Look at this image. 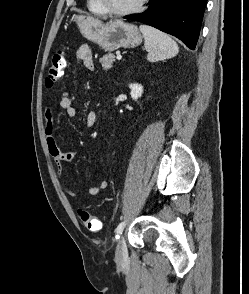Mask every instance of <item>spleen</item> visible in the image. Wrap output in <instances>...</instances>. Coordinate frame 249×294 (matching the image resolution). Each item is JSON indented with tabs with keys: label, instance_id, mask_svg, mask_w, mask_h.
I'll list each match as a JSON object with an SVG mask.
<instances>
[{
	"label": "spleen",
	"instance_id": "3e777b00",
	"mask_svg": "<svg viewBox=\"0 0 249 294\" xmlns=\"http://www.w3.org/2000/svg\"><path fill=\"white\" fill-rule=\"evenodd\" d=\"M144 46L148 51L147 60L161 61L174 57L179 52L177 43L166 33L148 25H140Z\"/></svg>",
	"mask_w": 249,
	"mask_h": 294
}]
</instances>
